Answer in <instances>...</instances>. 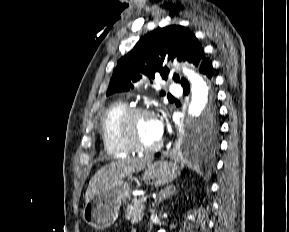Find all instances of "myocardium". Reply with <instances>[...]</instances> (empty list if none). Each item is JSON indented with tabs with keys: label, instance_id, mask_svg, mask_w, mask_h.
<instances>
[{
	"label": "myocardium",
	"instance_id": "myocardium-1",
	"mask_svg": "<svg viewBox=\"0 0 289 232\" xmlns=\"http://www.w3.org/2000/svg\"><path fill=\"white\" fill-rule=\"evenodd\" d=\"M147 115L155 118V113L145 107H129L122 115L119 122V135L124 144L135 153L151 154L161 147V140L151 147L142 146L136 139L133 130V124L137 117Z\"/></svg>",
	"mask_w": 289,
	"mask_h": 232
}]
</instances>
